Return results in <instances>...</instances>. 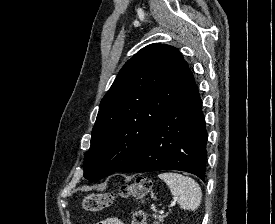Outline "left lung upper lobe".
<instances>
[{"mask_svg": "<svg viewBox=\"0 0 275 224\" xmlns=\"http://www.w3.org/2000/svg\"><path fill=\"white\" fill-rule=\"evenodd\" d=\"M194 77L181 53L151 44L128 60L99 105L84 176L128 171L145 140Z\"/></svg>", "mask_w": 275, "mask_h": 224, "instance_id": "left-lung-upper-lobe-1", "label": "left lung upper lobe"}]
</instances>
